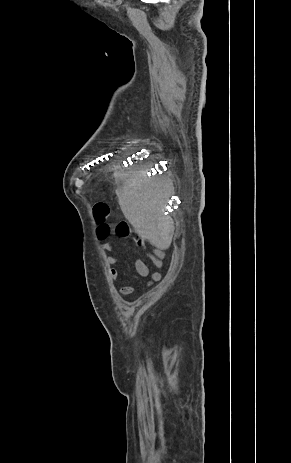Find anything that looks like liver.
Listing matches in <instances>:
<instances>
[{
	"mask_svg": "<svg viewBox=\"0 0 291 463\" xmlns=\"http://www.w3.org/2000/svg\"><path fill=\"white\" fill-rule=\"evenodd\" d=\"M122 185L117 189L120 208L136 233L148 240L159 253L170 247L174 224L164 214L170 184L163 179L148 177L146 171H115Z\"/></svg>",
	"mask_w": 291,
	"mask_h": 463,
	"instance_id": "obj_1",
	"label": "liver"
}]
</instances>
